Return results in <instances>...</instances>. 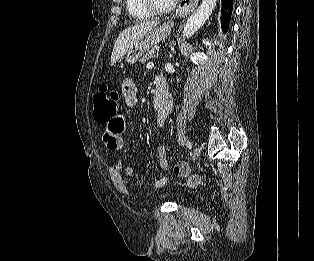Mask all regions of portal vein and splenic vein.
I'll return each instance as SVG.
<instances>
[{
  "instance_id": "1",
  "label": "portal vein and splenic vein",
  "mask_w": 314,
  "mask_h": 261,
  "mask_svg": "<svg viewBox=\"0 0 314 261\" xmlns=\"http://www.w3.org/2000/svg\"><path fill=\"white\" fill-rule=\"evenodd\" d=\"M146 67L147 69H152L154 67V64L152 62L148 63Z\"/></svg>"
}]
</instances>
